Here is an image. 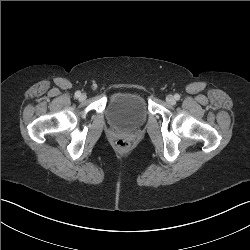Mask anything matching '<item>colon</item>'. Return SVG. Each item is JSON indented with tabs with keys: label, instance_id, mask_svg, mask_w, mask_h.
<instances>
[{
	"label": "colon",
	"instance_id": "obj_1",
	"mask_svg": "<svg viewBox=\"0 0 250 250\" xmlns=\"http://www.w3.org/2000/svg\"><path fill=\"white\" fill-rule=\"evenodd\" d=\"M130 143L126 140V139H117L115 141V147L119 150V151H127L129 149Z\"/></svg>",
	"mask_w": 250,
	"mask_h": 250
}]
</instances>
